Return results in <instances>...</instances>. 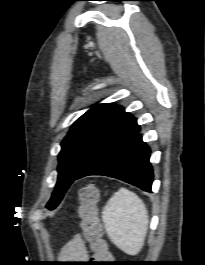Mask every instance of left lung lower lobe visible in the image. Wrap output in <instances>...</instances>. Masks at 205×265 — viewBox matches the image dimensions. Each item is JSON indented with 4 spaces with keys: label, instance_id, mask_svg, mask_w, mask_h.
<instances>
[{
    "label": "left lung lower lobe",
    "instance_id": "1",
    "mask_svg": "<svg viewBox=\"0 0 205 265\" xmlns=\"http://www.w3.org/2000/svg\"><path fill=\"white\" fill-rule=\"evenodd\" d=\"M135 118L105 145L79 172L75 180L88 175H104L151 192L153 170L150 148L142 141Z\"/></svg>",
    "mask_w": 205,
    "mask_h": 265
}]
</instances>
